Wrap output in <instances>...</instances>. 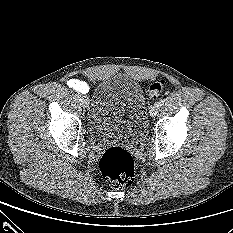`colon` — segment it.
Instances as JSON below:
<instances>
[{"label":"colon","instance_id":"colon-1","mask_svg":"<svg viewBox=\"0 0 233 233\" xmlns=\"http://www.w3.org/2000/svg\"><path fill=\"white\" fill-rule=\"evenodd\" d=\"M163 80L153 82L147 89L150 98H157L164 88ZM99 169L106 182L115 189L128 187L135 176L131 155L121 147L108 148L100 158Z\"/></svg>","mask_w":233,"mask_h":233}]
</instances>
